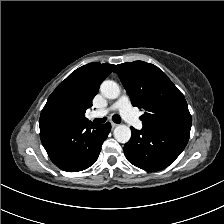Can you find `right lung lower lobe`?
Listing matches in <instances>:
<instances>
[{
	"label": "right lung lower lobe",
	"instance_id": "right-lung-lower-lobe-1",
	"mask_svg": "<svg viewBox=\"0 0 224 224\" xmlns=\"http://www.w3.org/2000/svg\"><path fill=\"white\" fill-rule=\"evenodd\" d=\"M41 142L52 160L67 172L82 171L93 165L107 138L111 124L78 123L40 117Z\"/></svg>",
	"mask_w": 224,
	"mask_h": 224
}]
</instances>
